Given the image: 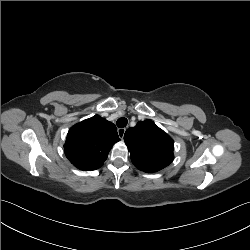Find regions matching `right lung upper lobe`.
Here are the masks:
<instances>
[{"mask_svg":"<svg viewBox=\"0 0 250 250\" xmlns=\"http://www.w3.org/2000/svg\"><path fill=\"white\" fill-rule=\"evenodd\" d=\"M120 140L116 126L95 115L70 128L64 145L70 162L84 171L100 168L112 146Z\"/></svg>","mask_w":250,"mask_h":250,"instance_id":"right-lung-upper-lobe-1","label":"right lung upper lobe"}]
</instances>
